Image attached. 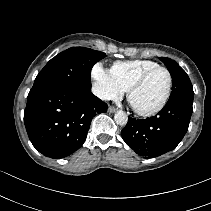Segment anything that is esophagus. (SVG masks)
Returning a JSON list of instances; mask_svg holds the SVG:
<instances>
[{
    "label": "esophagus",
    "instance_id": "1",
    "mask_svg": "<svg viewBox=\"0 0 211 211\" xmlns=\"http://www.w3.org/2000/svg\"><path fill=\"white\" fill-rule=\"evenodd\" d=\"M116 110L117 109L115 107H113V106H109V108H108V112L109 113H114Z\"/></svg>",
    "mask_w": 211,
    "mask_h": 211
}]
</instances>
